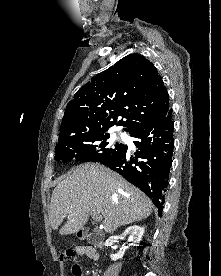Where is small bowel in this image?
Instances as JSON below:
<instances>
[{"mask_svg":"<svg viewBox=\"0 0 221 276\" xmlns=\"http://www.w3.org/2000/svg\"><path fill=\"white\" fill-rule=\"evenodd\" d=\"M77 252L80 255H85L90 259L97 260L99 255L97 251L91 246H80L77 248Z\"/></svg>","mask_w":221,"mask_h":276,"instance_id":"small-bowel-1","label":"small bowel"}]
</instances>
